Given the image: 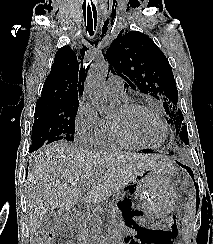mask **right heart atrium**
I'll return each mask as SVG.
<instances>
[{"label":"right heart atrium","instance_id":"right-heart-atrium-1","mask_svg":"<svg viewBox=\"0 0 213 244\" xmlns=\"http://www.w3.org/2000/svg\"><path fill=\"white\" fill-rule=\"evenodd\" d=\"M107 127V121L97 112L95 106L83 101L75 116V137L89 145H100Z\"/></svg>","mask_w":213,"mask_h":244}]
</instances>
